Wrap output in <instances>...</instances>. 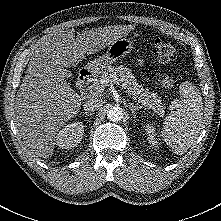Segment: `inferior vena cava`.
Masks as SVG:
<instances>
[{"mask_svg": "<svg viewBox=\"0 0 221 221\" xmlns=\"http://www.w3.org/2000/svg\"><path fill=\"white\" fill-rule=\"evenodd\" d=\"M103 105V100L99 98H91L88 101L85 102L84 110L85 111H95L96 109L100 108Z\"/></svg>", "mask_w": 221, "mask_h": 221, "instance_id": "obj_1", "label": "inferior vena cava"}]
</instances>
